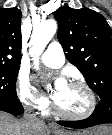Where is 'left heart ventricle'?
Here are the masks:
<instances>
[{
    "label": "left heart ventricle",
    "mask_w": 112,
    "mask_h": 135,
    "mask_svg": "<svg viewBox=\"0 0 112 135\" xmlns=\"http://www.w3.org/2000/svg\"><path fill=\"white\" fill-rule=\"evenodd\" d=\"M54 100L61 109L70 113H81L88 106L85 90L71 84H67L64 90Z\"/></svg>",
    "instance_id": "b2bd125f"
}]
</instances>
